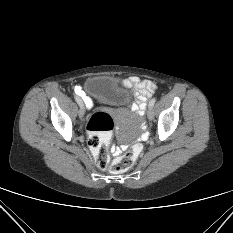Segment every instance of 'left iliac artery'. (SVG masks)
Instances as JSON below:
<instances>
[{
    "label": "left iliac artery",
    "instance_id": "obj_1",
    "mask_svg": "<svg viewBox=\"0 0 233 233\" xmlns=\"http://www.w3.org/2000/svg\"><path fill=\"white\" fill-rule=\"evenodd\" d=\"M155 102H156V98L154 97V98H152V99L150 100V102H149V107L153 108Z\"/></svg>",
    "mask_w": 233,
    "mask_h": 233
}]
</instances>
